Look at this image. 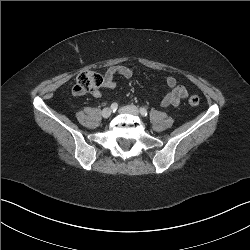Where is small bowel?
I'll list each match as a JSON object with an SVG mask.
<instances>
[{
  "label": "small bowel",
  "mask_w": 250,
  "mask_h": 250,
  "mask_svg": "<svg viewBox=\"0 0 250 250\" xmlns=\"http://www.w3.org/2000/svg\"><path fill=\"white\" fill-rule=\"evenodd\" d=\"M117 75L123 76L125 78H131L133 75V69L124 65H114L109 67L104 74L102 88H115L117 83L115 82L114 78ZM165 82L169 90L160 101V106H178L181 100L188 96V89L185 86L178 84L177 80L172 76L167 77ZM92 95L96 98H101L103 93L100 89H96L92 92Z\"/></svg>",
  "instance_id": "1"
}]
</instances>
